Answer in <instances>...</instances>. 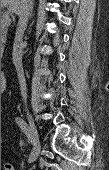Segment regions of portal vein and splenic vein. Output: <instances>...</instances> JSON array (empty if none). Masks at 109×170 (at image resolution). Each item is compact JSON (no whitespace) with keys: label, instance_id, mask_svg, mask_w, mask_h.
Wrapping results in <instances>:
<instances>
[{"label":"portal vein and splenic vein","instance_id":"portal-vein-and-splenic-vein-1","mask_svg":"<svg viewBox=\"0 0 109 170\" xmlns=\"http://www.w3.org/2000/svg\"><path fill=\"white\" fill-rule=\"evenodd\" d=\"M10 23H11L10 17H3V18L1 19V26H2V27L9 26Z\"/></svg>","mask_w":109,"mask_h":170}]
</instances>
